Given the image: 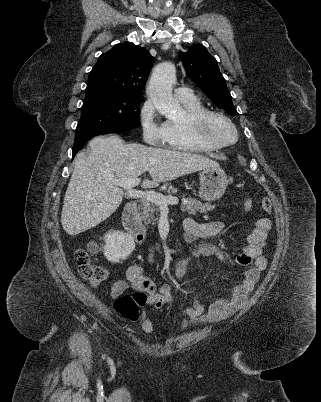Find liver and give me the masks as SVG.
I'll list each match as a JSON object with an SVG mask.
<instances>
[{"mask_svg": "<svg viewBox=\"0 0 321 402\" xmlns=\"http://www.w3.org/2000/svg\"><path fill=\"white\" fill-rule=\"evenodd\" d=\"M90 153L77 154L61 213V223L71 236L91 229L110 217L120 206L124 192L114 180L135 178L148 171L142 188L219 164L208 157L172 149L124 144L118 135L93 138Z\"/></svg>", "mask_w": 321, "mask_h": 402, "instance_id": "obj_1", "label": "liver"}]
</instances>
